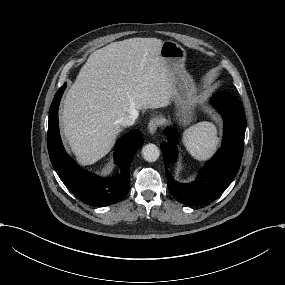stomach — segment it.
I'll return each instance as SVG.
<instances>
[{"label": "stomach", "mask_w": 285, "mask_h": 285, "mask_svg": "<svg viewBox=\"0 0 285 285\" xmlns=\"http://www.w3.org/2000/svg\"><path fill=\"white\" fill-rule=\"evenodd\" d=\"M160 58L172 79L173 98L180 123L184 126L194 120L197 88L192 76L185 69L186 51L174 41L166 40L160 50Z\"/></svg>", "instance_id": "obj_1"}]
</instances>
